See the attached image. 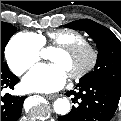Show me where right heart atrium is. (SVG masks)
Segmentation results:
<instances>
[{
    "mask_svg": "<svg viewBox=\"0 0 121 121\" xmlns=\"http://www.w3.org/2000/svg\"><path fill=\"white\" fill-rule=\"evenodd\" d=\"M40 50V43L35 37L28 33H19L9 40L5 56L10 69L22 74L39 60Z\"/></svg>",
    "mask_w": 121,
    "mask_h": 121,
    "instance_id": "d8ad5b80",
    "label": "right heart atrium"
}]
</instances>
